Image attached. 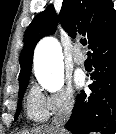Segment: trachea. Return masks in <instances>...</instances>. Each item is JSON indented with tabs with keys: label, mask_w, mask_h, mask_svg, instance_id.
Listing matches in <instances>:
<instances>
[{
	"label": "trachea",
	"mask_w": 116,
	"mask_h": 134,
	"mask_svg": "<svg viewBox=\"0 0 116 134\" xmlns=\"http://www.w3.org/2000/svg\"><path fill=\"white\" fill-rule=\"evenodd\" d=\"M80 43H81L83 46H85V45H87V40H86V39H81V40H80Z\"/></svg>",
	"instance_id": "obj_1"
}]
</instances>
